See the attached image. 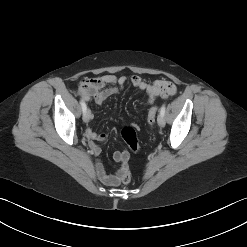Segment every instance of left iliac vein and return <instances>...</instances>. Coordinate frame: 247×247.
<instances>
[{"instance_id":"obj_1","label":"left iliac vein","mask_w":247,"mask_h":247,"mask_svg":"<svg viewBox=\"0 0 247 247\" xmlns=\"http://www.w3.org/2000/svg\"><path fill=\"white\" fill-rule=\"evenodd\" d=\"M157 122H158V125L160 127H164L165 126V118H164V116L160 114L158 116Z\"/></svg>"}]
</instances>
